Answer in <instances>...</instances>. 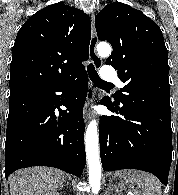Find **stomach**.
Masks as SVG:
<instances>
[{
  "instance_id": "1",
  "label": "stomach",
  "mask_w": 178,
  "mask_h": 195,
  "mask_svg": "<svg viewBox=\"0 0 178 195\" xmlns=\"http://www.w3.org/2000/svg\"><path fill=\"white\" fill-rule=\"evenodd\" d=\"M112 179L117 182V185L115 186L117 191L127 190L132 187V183H130L128 180H126L122 176H119L117 173H114L112 175Z\"/></svg>"
}]
</instances>
